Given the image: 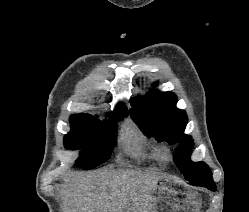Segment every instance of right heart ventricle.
<instances>
[{
  "instance_id": "1",
  "label": "right heart ventricle",
  "mask_w": 249,
  "mask_h": 212,
  "mask_svg": "<svg viewBox=\"0 0 249 212\" xmlns=\"http://www.w3.org/2000/svg\"><path fill=\"white\" fill-rule=\"evenodd\" d=\"M119 142L123 151L133 159L157 165H165L169 161L163 147L149 140L134 125L122 129Z\"/></svg>"
}]
</instances>
